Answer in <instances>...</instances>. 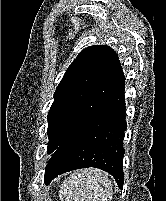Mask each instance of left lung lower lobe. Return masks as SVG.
Segmentation results:
<instances>
[{"label": "left lung lower lobe", "instance_id": "1", "mask_svg": "<svg viewBox=\"0 0 166 201\" xmlns=\"http://www.w3.org/2000/svg\"><path fill=\"white\" fill-rule=\"evenodd\" d=\"M125 81V80H124ZM124 81L105 103L76 128L53 152L45 169V184L67 171L95 167L111 174L123 187L122 146L125 121Z\"/></svg>", "mask_w": 166, "mask_h": 201}]
</instances>
